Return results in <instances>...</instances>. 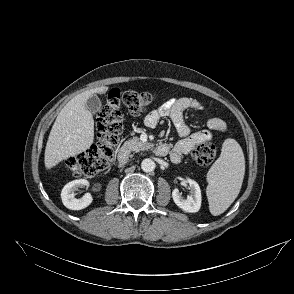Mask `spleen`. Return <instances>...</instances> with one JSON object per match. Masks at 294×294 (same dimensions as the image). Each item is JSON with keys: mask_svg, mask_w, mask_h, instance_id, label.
<instances>
[{"mask_svg": "<svg viewBox=\"0 0 294 294\" xmlns=\"http://www.w3.org/2000/svg\"><path fill=\"white\" fill-rule=\"evenodd\" d=\"M245 173L242 148L228 138L222 145L221 155L207 173L206 194L212 215L222 214L238 196Z\"/></svg>", "mask_w": 294, "mask_h": 294, "instance_id": "obj_1", "label": "spleen"}]
</instances>
